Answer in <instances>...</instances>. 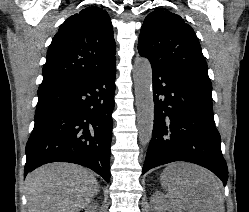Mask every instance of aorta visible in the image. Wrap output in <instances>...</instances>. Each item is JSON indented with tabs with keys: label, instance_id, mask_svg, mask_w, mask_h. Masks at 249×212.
Listing matches in <instances>:
<instances>
[{
	"label": "aorta",
	"instance_id": "1",
	"mask_svg": "<svg viewBox=\"0 0 249 212\" xmlns=\"http://www.w3.org/2000/svg\"><path fill=\"white\" fill-rule=\"evenodd\" d=\"M133 79L139 140L142 145H147L151 140L153 131L154 100L152 92V67L146 58L139 57L135 60Z\"/></svg>",
	"mask_w": 249,
	"mask_h": 212
}]
</instances>
